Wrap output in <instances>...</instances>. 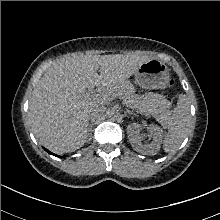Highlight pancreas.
Returning a JSON list of instances; mask_svg holds the SVG:
<instances>
[{
	"label": "pancreas",
	"instance_id": "obj_1",
	"mask_svg": "<svg viewBox=\"0 0 220 220\" xmlns=\"http://www.w3.org/2000/svg\"><path fill=\"white\" fill-rule=\"evenodd\" d=\"M133 90V85L129 82H125L117 95H120L131 106L138 105L137 97ZM113 96L115 95H112V97ZM149 105L152 107V112L156 118L162 123H168L171 114L169 111V102L160 99L151 101Z\"/></svg>",
	"mask_w": 220,
	"mask_h": 220
}]
</instances>
